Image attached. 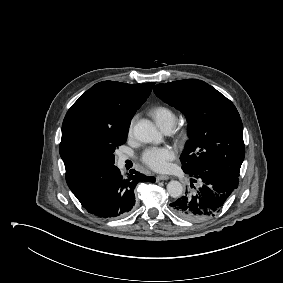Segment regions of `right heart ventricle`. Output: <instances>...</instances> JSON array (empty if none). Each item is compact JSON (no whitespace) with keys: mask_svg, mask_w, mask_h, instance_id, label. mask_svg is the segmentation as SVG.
I'll use <instances>...</instances> for the list:
<instances>
[{"mask_svg":"<svg viewBox=\"0 0 283 283\" xmlns=\"http://www.w3.org/2000/svg\"><path fill=\"white\" fill-rule=\"evenodd\" d=\"M150 115L155 120L157 125L162 128L167 124L175 125L176 115L166 106H155L150 110Z\"/></svg>","mask_w":283,"mask_h":283,"instance_id":"obj_1","label":"right heart ventricle"}]
</instances>
